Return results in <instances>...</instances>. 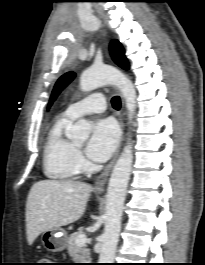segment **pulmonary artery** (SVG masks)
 <instances>
[{"mask_svg":"<svg viewBox=\"0 0 205 265\" xmlns=\"http://www.w3.org/2000/svg\"><path fill=\"white\" fill-rule=\"evenodd\" d=\"M106 109V99L102 94H93L87 98L70 105L64 112V116L75 120L83 115L101 113Z\"/></svg>","mask_w":205,"mask_h":265,"instance_id":"1","label":"pulmonary artery"}]
</instances>
